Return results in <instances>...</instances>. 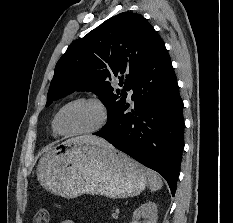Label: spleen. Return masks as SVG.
<instances>
[{
  "label": "spleen",
  "mask_w": 233,
  "mask_h": 223,
  "mask_svg": "<svg viewBox=\"0 0 233 223\" xmlns=\"http://www.w3.org/2000/svg\"><path fill=\"white\" fill-rule=\"evenodd\" d=\"M147 177L149 181V189H151V191H156V189H161L163 185L162 179L160 175L156 173V171H153V169H148Z\"/></svg>",
  "instance_id": "1"
}]
</instances>
